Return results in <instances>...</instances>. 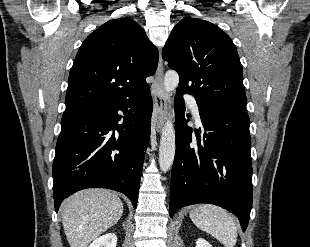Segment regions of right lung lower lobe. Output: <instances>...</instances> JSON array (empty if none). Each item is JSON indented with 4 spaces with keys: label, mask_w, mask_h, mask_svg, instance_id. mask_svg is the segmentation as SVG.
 I'll use <instances>...</instances> for the list:
<instances>
[{
    "label": "right lung lower lobe",
    "mask_w": 310,
    "mask_h": 247,
    "mask_svg": "<svg viewBox=\"0 0 310 247\" xmlns=\"http://www.w3.org/2000/svg\"><path fill=\"white\" fill-rule=\"evenodd\" d=\"M151 114L149 89L64 111L52 174L56 212L66 197L92 187L121 192L137 206Z\"/></svg>",
    "instance_id": "obj_1"
}]
</instances>
